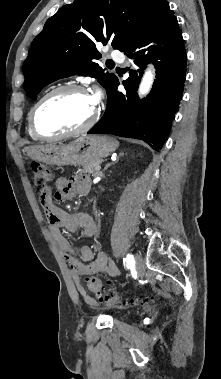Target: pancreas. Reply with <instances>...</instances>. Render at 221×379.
Here are the masks:
<instances>
[{
  "instance_id": "1",
  "label": "pancreas",
  "mask_w": 221,
  "mask_h": 379,
  "mask_svg": "<svg viewBox=\"0 0 221 379\" xmlns=\"http://www.w3.org/2000/svg\"><path fill=\"white\" fill-rule=\"evenodd\" d=\"M101 160H96L83 164V169L79 170L85 174H97L99 172L98 166L100 165Z\"/></svg>"
}]
</instances>
